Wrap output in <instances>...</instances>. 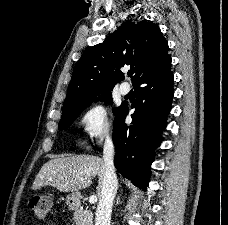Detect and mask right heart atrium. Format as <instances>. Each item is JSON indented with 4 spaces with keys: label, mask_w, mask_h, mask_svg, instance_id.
Returning a JSON list of instances; mask_svg holds the SVG:
<instances>
[{
    "label": "right heart atrium",
    "mask_w": 228,
    "mask_h": 225,
    "mask_svg": "<svg viewBox=\"0 0 228 225\" xmlns=\"http://www.w3.org/2000/svg\"><path fill=\"white\" fill-rule=\"evenodd\" d=\"M79 121L84 135L91 141L100 143L111 135L108 111L101 103L83 110Z\"/></svg>",
    "instance_id": "d8ad5b80"
}]
</instances>
